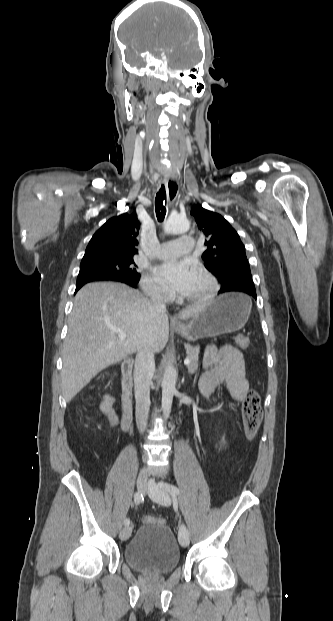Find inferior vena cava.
Wrapping results in <instances>:
<instances>
[{"mask_svg":"<svg viewBox=\"0 0 333 621\" xmlns=\"http://www.w3.org/2000/svg\"><path fill=\"white\" fill-rule=\"evenodd\" d=\"M151 303L156 310L166 312V305L162 298L153 297ZM154 371V352L149 347H144L137 352L134 367L136 424L140 433H143L147 426L150 408V383Z\"/></svg>","mask_w":333,"mask_h":621,"instance_id":"obj_1","label":"inferior vena cava"}]
</instances>
